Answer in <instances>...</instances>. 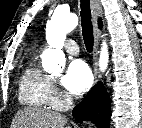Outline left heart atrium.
<instances>
[{"mask_svg":"<svg viewBox=\"0 0 142 128\" xmlns=\"http://www.w3.org/2000/svg\"><path fill=\"white\" fill-rule=\"evenodd\" d=\"M93 78L88 65L82 60H73L61 79L63 87L73 95H80L90 88Z\"/></svg>","mask_w":142,"mask_h":128,"instance_id":"1","label":"left heart atrium"}]
</instances>
